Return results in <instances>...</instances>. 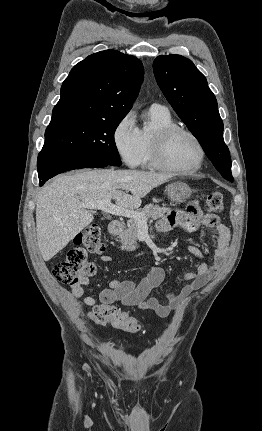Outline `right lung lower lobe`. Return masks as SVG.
<instances>
[{
	"label": "right lung lower lobe",
	"instance_id": "1",
	"mask_svg": "<svg viewBox=\"0 0 262 431\" xmlns=\"http://www.w3.org/2000/svg\"><path fill=\"white\" fill-rule=\"evenodd\" d=\"M108 164L83 155L64 152H43L38 155L37 168L40 186L53 176L80 168L106 167Z\"/></svg>",
	"mask_w": 262,
	"mask_h": 431
}]
</instances>
